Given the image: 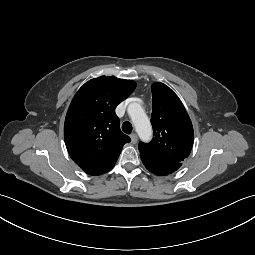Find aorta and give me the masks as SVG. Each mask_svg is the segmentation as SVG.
Wrapping results in <instances>:
<instances>
[{
	"label": "aorta",
	"instance_id": "aorta-1",
	"mask_svg": "<svg viewBox=\"0 0 255 255\" xmlns=\"http://www.w3.org/2000/svg\"><path fill=\"white\" fill-rule=\"evenodd\" d=\"M128 114L132 119L136 132L143 141H149L152 136V127L143 108L138 103L128 106Z\"/></svg>",
	"mask_w": 255,
	"mask_h": 255
}]
</instances>
